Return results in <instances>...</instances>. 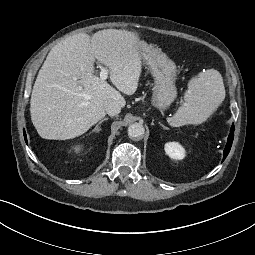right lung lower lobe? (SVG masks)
I'll return each mask as SVG.
<instances>
[{"mask_svg":"<svg viewBox=\"0 0 255 255\" xmlns=\"http://www.w3.org/2000/svg\"><path fill=\"white\" fill-rule=\"evenodd\" d=\"M24 137H25V140L27 141V139H26V133H25V131H24Z\"/></svg>","mask_w":255,"mask_h":255,"instance_id":"right-lung-lower-lobe-1","label":"right lung lower lobe"}]
</instances>
